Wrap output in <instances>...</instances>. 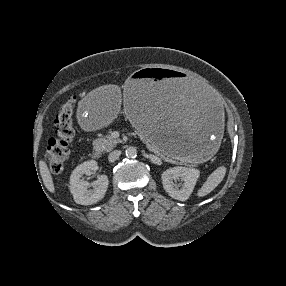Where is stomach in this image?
I'll return each mask as SVG.
<instances>
[{"instance_id":"1","label":"stomach","mask_w":286,"mask_h":286,"mask_svg":"<svg viewBox=\"0 0 286 286\" xmlns=\"http://www.w3.org/2000/svg\"><path fill=\"white\" fill-rule=\"evenodd\" d=\"M123 112L149 144L186 162L208 159L221 141L222 101L210 85L184 73L145 67L132 75L125 93L103 84L75 107L77 120L90 130L105 128Z\"/></svg>"}]
</instances>
